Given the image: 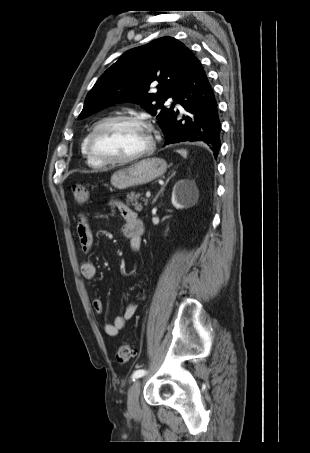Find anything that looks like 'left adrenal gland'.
<instances>
[{
    "label": "left adrenal gland",
    "mask_w": 310,
    "mask_h": 453,
    "mask_svg": "<svg viewBox=\"0 0 310 453\" xmlns=\"http://www.w3.org/2000/svg\"><path fill=\"white\" fill-rule=\"evenodd\" d=\"M175 171H173V173L171 174L170 177H168V179L166 180L164 186L161 188V190L159 191V193L156 195V197L153 199L152 201V204H154L156 202V200L158 199L159 195L163 192L165 186L167 185V183L169 182L170 178L173 177L175 175Z\"/></svg>",
    "instance_id": "a2214340"
}]
</instances>
